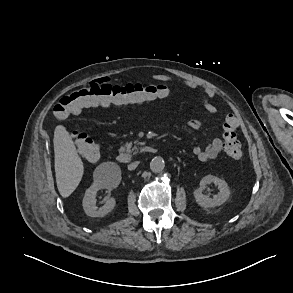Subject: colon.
<instances>
[{"instance_id":"colon-1","label":"colon","mask_w":293,"mask_h":293,"mask_svg":"<svg viewBox=\"0 0 293 293\" xmlns=\"http://www.w3.org/2000/svg\"><path fill=\"white\" fill-rule=\"evenodd\" d=\"M168 95L167 88L162 84L129 83L125 85L112 84L105 80L91 82L64 95L53 108L57 119H64L79 113L90 106H115L157 100ZM238 120L234 115H228L223 123L224 151L231 158H239L242 154L241 143L237 138ZM74 143L89 162H97L100 158V148L97 140L90 134L72 131Z\"/></svg>"}]
</instances>
